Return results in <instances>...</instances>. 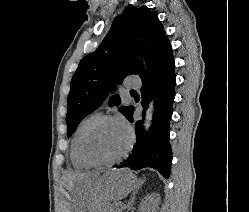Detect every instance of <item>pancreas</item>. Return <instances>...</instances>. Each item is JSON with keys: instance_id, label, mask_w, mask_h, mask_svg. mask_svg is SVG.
<instances>
[{"instance_id": "obj_1", "label": "pancreas", "mask_w": 249, "mask_h": 212, "mask_svg": "<svg viewBox=\"0 0 249 212\" xmlns=\"http://www.w3.org/2000/svg\"><path fill=\"white\" fill-rule=\"evenodd\" d=\"M100 212H117V208H114V206H112V204H104V206H102Z\"/></svg>"}]
</instances>
